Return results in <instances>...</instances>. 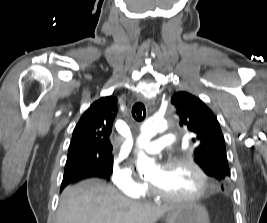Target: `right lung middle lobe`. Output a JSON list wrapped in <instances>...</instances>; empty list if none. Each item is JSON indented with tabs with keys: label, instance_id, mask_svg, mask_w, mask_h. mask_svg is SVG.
I'll list each match as a JSON object with an SVG mask.
<instances>
[{
	"label": "right lung middle lobe",
	"instance_id": "1",
	"mask_svg": "<svg viewBox=\"0 0 267 223\" xmlns=\"http://www.w3.org/2000/svg\"><path fill=\"white\" fill-rule=\"evenodd\" d=\"M112 167L113 161L112 156H110L107 158H99V160L83 159L79 161L66 162L64 172L75 170L91 171L98 173L102 176V178L109 180L112 173Z\"/></svg>",
	"mask_w": 267,
	"mask_h": 223
}]
</instances>
